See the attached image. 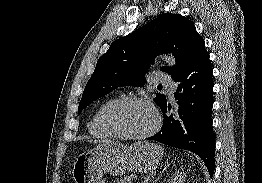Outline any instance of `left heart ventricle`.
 <instances>
[{
	"label": "left heart ventricle",
	"instance_id": "left-heart-ventricle-1",
	"mask_svg": "<svg viewBox=\"0 0 262 183\" xmlns=\"http://www.w3.org/2000/svg\"><path fill=\"white\" fill-rule=\"evenodd\" d=\"M113 123L125 134L140 135L153 127L155 115L146 105L131 104L115 114Z\"/></svg>",
	"mask_w": 262,
	"mask_h": 183
}]
</instances>
